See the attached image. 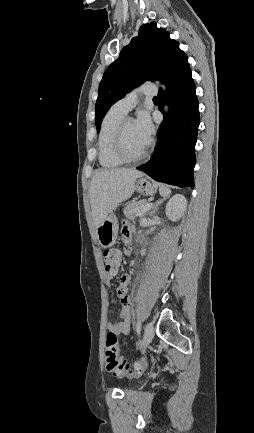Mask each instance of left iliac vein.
I'll use <instances>...</instances> for the list:
<instances>
[{
  "instance_id": "4c4485c4",
  "label": "left iliac vein",
  "mask_w": 254,
  "mask_h": 433,
  "mask_svg": "<svg viewBox=\"0 0 254 433\" xmlns=\"http://www.w3.org/2000/svg\"><path fill=\"white\" fill-rule=\"evenodd\" d=\"M154 337V326L151 322L146 324L143 338L140 342V348H146Z\"/></svg>"
}]
</instances>
